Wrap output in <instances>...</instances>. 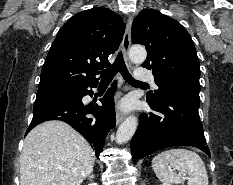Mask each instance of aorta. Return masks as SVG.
<instances>
[{
    "mask_svg": "<svg viewBox=\"0 0 233 185\" xmlns=\"http://www.w3.org/2000/svg\"><path fill=\"white\" fill-rule=\"evenodd\" d=\"M147 57L146 49L143 46L134 45L129 50V58L135 63H142ZM138 121L135 116H129L119 126L116 134L118 143H125L129 141L137 129Z\"/></svg>",
    "mask_w": 233,
    "mask_h": 185,
    "instance_id": "aorta-1",
    "label": "aorta"
}]
</instances>
